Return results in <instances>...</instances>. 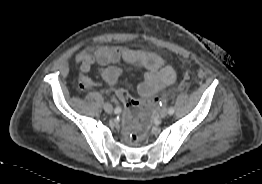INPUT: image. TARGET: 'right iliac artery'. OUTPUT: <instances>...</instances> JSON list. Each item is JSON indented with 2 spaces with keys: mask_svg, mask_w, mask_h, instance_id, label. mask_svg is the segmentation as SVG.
<instances>
[{
  "mask_svg": "<svg viewBox=\"0 0 262 184\" xmlns=\"http://www.w3.org/2000/svg\"><path fill=\"white\" fill-rule=\"evenodd\" d=\"M120 111H121V108H120V107H116V108H115V113H116V114L120 113Z\"/></svg>",
  "mask_w": 262,
  "mask_h": 184,
  "instance_id": "right-iliac-artery-1",
  "label": "right iliac artery"
}]
</instances>
